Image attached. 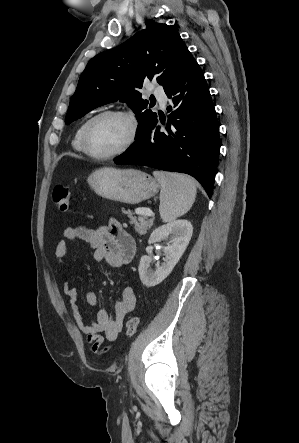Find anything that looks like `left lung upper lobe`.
<instances>
[{
    "label": "left lung upper lobe",
    "instance_id": "obj_1",
    "mask_svg": "<svg viewBox=\"0 0 299 443\" xmlns=\"http://www.w3.org/2000/svg\"><path fill=\"white\" fill-rule=\"evenodd\" d=\"M196 63L175 29L151 23L123 44L89 61L71 97L65 123L120 100L136 114L137 139L157 118L156 113L146 109L149 102L137 89L142 88L145 79H155L167 90Z\"/></svg>",
    "mask_w": 299,
    "mask_h": 443
}]
</instances>
